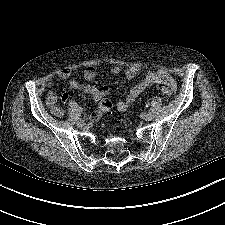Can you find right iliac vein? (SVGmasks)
Listing matches in <instances>:
<instances>
[{"label": "right iliac vein", "mask_w": 225, "mask_h": 225, "mask_svg": "<svg viewBox=\"0 0 225 225\" xmlns=\"http://www.w3.org/2000/svg\"><path fill=\"white\" fill-rule=\"evenodd\" d=\"M78 127L81 128V129H84L86 127V123L84 121H79Z\"/></svg>", "instance_id": "63e3f726"}]
</instances>
